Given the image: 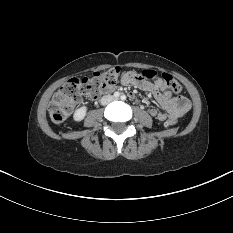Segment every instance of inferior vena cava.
<instances>
[{"instance_id":"inferior-vena-cava-1","label":"inferior vena cava","mask_w":233,"mask_h":233,"mask_svg":"<svg viewBox=\"0 0 233 233\" xmlns=\"http://www.w3.org/2000/svg\"><path fill=\"white\" fill-rule=\"evenodd\" d=\"M114 100V97L112 95H105L101 98V104L102 105H107L111 101Z\"/></svg>"}]
</instances>
